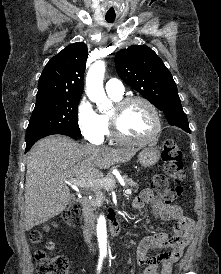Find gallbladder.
I'll use <instances>...</instances> for the list:
<instances>
[{
    "label": "gallbladder",
    "instance_id": "bac80fb5",
    "mask_svg": "<svg viewBox=\"0 0 221 274\" xmlns=\"http://www.w3.org/2000/svg\"><path fill=\"white\" fill-rule=\"evenodd\" d=\"M75 201V197L73 195L69 198V204L73 203Z\"/></svg>",
    "mask_w": 221,
    "mask_h": 274
}]
</instances>
